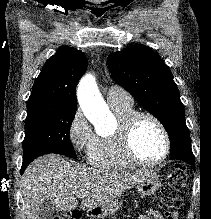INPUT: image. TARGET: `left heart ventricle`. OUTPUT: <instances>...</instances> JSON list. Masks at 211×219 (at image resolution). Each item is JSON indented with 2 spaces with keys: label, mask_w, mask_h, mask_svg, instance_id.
Segmentation results:
<instances>
[{
  "label": "left heart ventricle",
  "mask_w": 211,
  "mask_h": 219,
  "mask_svg": "<svg viewBox=\"0 0 211 219\" xmlns=\"http://www.w3.org/2000/svg\"><path fill=\"white\" fill-rule=\"evenodd\" d=\"M133 146L137 156L145 162L158 160L164 152V139L158 126L148 118L136 124Z\"/></svg>",
  "instance_id": "obj_1"
}]
</instances>
